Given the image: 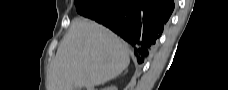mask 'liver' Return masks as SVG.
Instances as JSON below:
<instances>
[{"instance_id": "6515ba94", "label": "liver", "mask_w": 228, "mask_h": 90, "mask_svg": "<svg viewBox=\"0 0 228 90\" xmlns=\"http://www.w3.org/2000/svg\"><path fill=\"white\" fill-rule=\"evenodd\" d=\"M127 46L110 30L76 18L51 63L47 90L91 88L119 76L129 65Z\"/></svg>"}]
</instances>
